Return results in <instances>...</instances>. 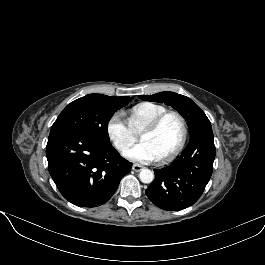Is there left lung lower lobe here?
<instances>
[{
	"label": "left lung lower lobe",
	"mask_w": 265,
	"mask_h": 265,
	"mask_svg": "<svg viewBox=\"0 0 265 265\" xmlns=\"http://www.w3.org/2000/svg\"><path fill=\"white\" fill-rule=\"evenodd\" d=\"M214 159L212 128H201L190 136L188 145L176 160L154 170L155 179L146 190L148 198L168 211L193 205L210 180Z\"/></svg>",
	"instance_id": "0a47b994"
}]
</instances>
